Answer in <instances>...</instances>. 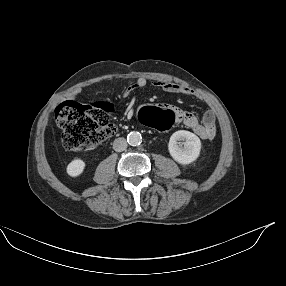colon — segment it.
Segmentation results:
<instances>
[{
	"label": "colon",
	"mask_w": 286,
	"mask_h": 286,
	"mask_svg": "<svg viewBox=\"0 0 286 286\" xmlns=\"http://www.w3.org/2000/svg\"><path fill=\"white\" fill-rule=\"evenodd\" d=\"M113 107L105 101L83 105L75 100L61 102L55 110V119L62 130V144L69 151H85L116 133L110 121ZM139 123L154 132H171L174 115L169 109L146 107L138 115Z\"/></svg>",
	"instance_id": "5ec220e1"
}]
</instances>
